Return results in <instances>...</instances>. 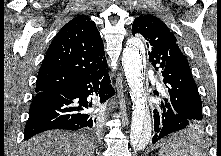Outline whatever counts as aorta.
I'll use <instances>...</instances> for the list:
<instances>
[{"label": "aorta", "instance_id": "762f6f07", "mask_svg": "<svg viewBox=\"0 0 221 156\" xmlns=\"http://www.w3.org/2000/svg\"><path fill=\"white\" fill-rule=\"evenodd\" d=\"M144 47L139 38H131L123 50L122 65L132 100L130 144L133 148H145L151 138L152 123L145 105L143 75Z\"/></svg>", "mask_w": 221, "mask_h": 156}]
</instances>
